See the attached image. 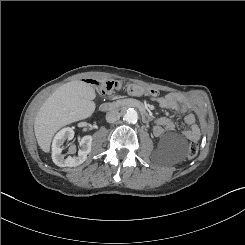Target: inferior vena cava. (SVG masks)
Returning <instances> with one entry per match:
<instances>
[{
	"label": "inferior vena cava",
	"instance_id": "1",
	"mask_svg": "<svg viewBox=\"0 0 245 245\" xmlns=\"http://www.w3.org/2000/svg\"><path fill=\"white\" fill-rule=\"evenodd\" d=\"M120 119V113L117 110H111L106 114V121L114 123Z\"/></svg>",
	"mask_w": 245,
	"mask_h": 245
}]
</instances>
